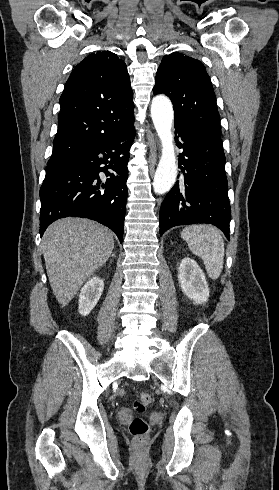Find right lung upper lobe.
<instances>
[{"instance_id":"right-lung-upper-lobe-1","label":"right lung upper lobe","mask_w":279,"mask_h":490,"mask_svg":"<svg viewBox=\"0 0 279 490\" xmlns=\"http://www.w3.org/2000/svg\"><path fill=\"white\" fill-rule=\"evenodd\" d=\"M132 99L123 60L110 51L86 57L73 69L61 95L48 164L65 162L134 127Z\"/></svg>"}]
</instances>
